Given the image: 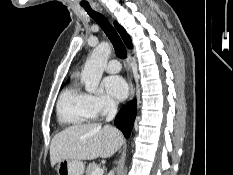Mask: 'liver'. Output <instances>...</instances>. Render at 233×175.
Returning <instances> with one entry per match:
<instances>
[{
  "label": "liver",
  "mask_w": 233,
  "mask_h": 175,
  "mask_svg": "<svg viewBox=\"0 0 233 175\" xmlns=\"http://www.w3.org/2000/svg\"><path fill=\"white\" fill-rule=\"evenodd\" d=\"M122 133L98 123L77 124L56 134L50 145L51 166L61 160L109 158L121 146Z\"/></svg>",
  "instance_id": "1"
}]
</instances>
